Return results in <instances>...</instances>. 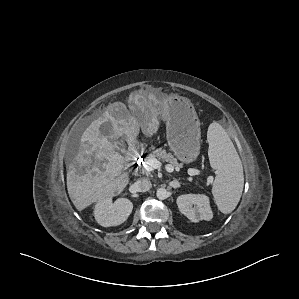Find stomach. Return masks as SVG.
<instances>
[{
  "mask_svg": "<svg viewBox=\"0 0 299 299\" xmlns=\"http://www.w3.org/2000/svg\"><path fill=\"white\" fill-rule=\"evenodd\" d=\"M157 115L166 120L171 151L183 163L196 160L201 147L200 121L191 101L178 94H161L153 101Z\"/></svg>",
  "mask_w": 299,
  "mask_h": 299,
  "instance_id": "stomach-1",
  "label": "stomach"
}]
</instances>
